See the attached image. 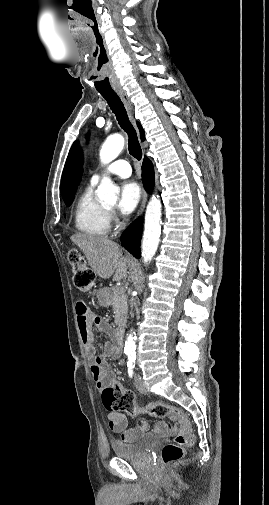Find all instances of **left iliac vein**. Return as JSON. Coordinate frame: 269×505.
Masks as SVG:
<instances>
[{
  "label": "left iliac vein",
  "instance_id": "left-iliac-vein-1",
  "mask_svg": "<svg viewBox=\"0 0 269 505\" xmlns=\"http://www.w3.org/2000/svg\"><path fill=\"white\" fill-rule=\"evenodd\" d=\"M134 384H135L136 389L139 392H141V393L145 392L144 382L142 380L141 375L138 372H136L135 375H134Z\"/></svg>",
  "mask_w": 269,
  "mask_h": 505
}]
</instances>
